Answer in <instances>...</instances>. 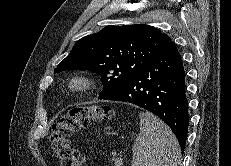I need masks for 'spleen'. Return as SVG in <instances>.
I'll use <instances>...</instances> for the list:
<instances>
[{
	"mask_svg": "<svg viewBox=\"0 0 231 166\" xmlns=\"http://www.w3.org/2000/svg\"><path fill=\"white\" fill-rule=\"evenodd\" d=\"M139 118L132 166H180L181 150L171 129L152 113L140 112Z\"/></svg>",
	"mask_w": 231,
	"mask_h": 166,
	"instance_id": "1",
	"label": "spleen"
}]
</instances>
